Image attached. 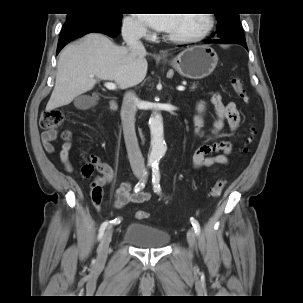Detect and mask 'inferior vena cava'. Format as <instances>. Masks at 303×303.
Listing matches in <instances>:
<instances>
[{"label": "inferior vena cava", "instance_id": "inferior-vena-cava-1", "mask_svg": "<svg viewBox=\"0 0 303 303\" xmlns=\"http://www.w3.org/2000/svg\"><path fill=\"white\" fill-rule=\"evenodd\" d=\"M141 32L142 29L134 22H125L122 26L123 40L134 58L145 52V48L140 41ZM137 104L138 98L135 93L126 92L121 107V121L131 169L135 175H141L144 172L145 164L135 133Z\"/></svg>", "mask_w": 303, "mask_h": 303}]
</instances>
